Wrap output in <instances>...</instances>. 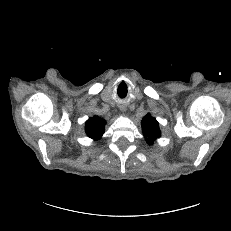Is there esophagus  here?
Wrapping results in <instances>:
<instances>
[{
  "mask_svg": "<svg viewBox=\"0 0 231 231\" xmlns=\"http://www.w3.org/2000/svg\"><path fill=\"white\" fill-rule=\"evenodd\" d=\"M120 110H121L122 112H125V111H126V106L121 105V106H120Z\"/></svg>",
  "mask_w": 231,
  "mask_h": 231,
  "instance_id": "esophagus-1",
  "label": "esophagus"
}]
</instances>
